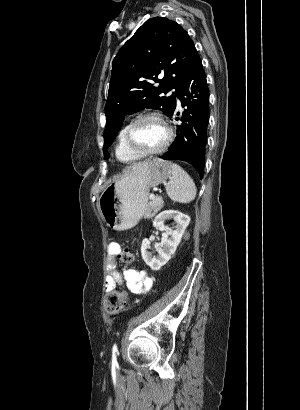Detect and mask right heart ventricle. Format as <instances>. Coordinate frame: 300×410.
<instances>
[{
    "mask_svg": "<svg viewBox=\"0 0 300 410\" xmlns=\"http://www.w3.org/2000/svg\"><path fill=\"white\" fill-rule=\"evenodd\" d=\"M129 123L124 125L118 133L115 153L116 157L122 162H133L139 160L141 157L133 153L125 144V130Z\"/></svg>",
    "mask_w": 300,
    "mask_h": 410,
    "instance_id": "right-heart-ventricle-1",
    "label": "right heart ventricle"
}]
</instances>
